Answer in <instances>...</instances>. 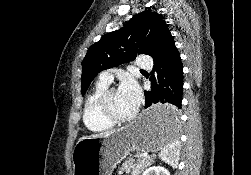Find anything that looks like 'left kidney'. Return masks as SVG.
<instances>
[{
    "label": "left kidney",
    "instance_id": "obj_1",
    "mask_svg": "<svg viewBox=\"0 0 251 175\" xmlns=\"http://www.w3.org/2000/svg\"><path fill=\"white\" fill-rule=\"evenodd\" d=\"M142 175H170V171L166 167H162V165H151V167H147L143 171Z\"/></svg>",
    "mask_w": 251,
    "mask_h": 175
}]
</instances>
